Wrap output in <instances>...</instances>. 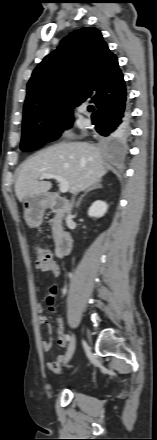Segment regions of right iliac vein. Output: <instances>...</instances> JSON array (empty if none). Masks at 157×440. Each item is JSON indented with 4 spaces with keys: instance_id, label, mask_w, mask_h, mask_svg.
I'll use <instances>...</instances> for the list:
<instances>
[{
    "instance_id": "1",
    "label": "right iliac vein",
    "mask_w": 157,
    "mask_h": 440,
    "mask_svg": "<svg viewBox=\"0 0 157 440\" xmlns=\"http://www.w3.org/2000/svg\"><path fill=\"white\" fill-rule=\"evenodd\" d=\"M76 349V338L73 335L69 344V348L67 351V355H68V360H70L75 352Z\"/></svg>"
}]
</instances>
